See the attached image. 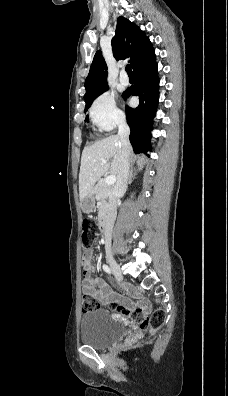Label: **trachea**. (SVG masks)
I'll return each mask as SVG.
<instances>
[{
    "label": "trachea",
    "mask_w": 228,
    "mask_h": 396,
    "mask_svg": "<svg viewBox=\"0 0 228 396\" xmlns=\"http://www.w3.org/2000/svg\"><path fill=\"white\" fill-rule=\"evenodd\" d=\"M126 72H127L128 76H133V72L131 70V66L130 65L126 66Z\"/></svg>",
    "instance_id": "obj_1"
}]
</instances>
